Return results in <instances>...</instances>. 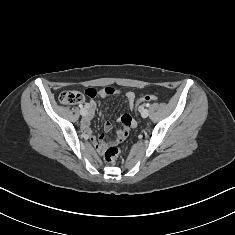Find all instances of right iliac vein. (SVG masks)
Instances as JSON below:
<instances>
[{
    "label": "right iliac vein",
    "mask_w": 235,
    "mask_h": 235,
    "mask_svg": "<svg viewBox=\"0 0 235 235\" xmlns=\"http://www.w3.org/2000/svg\"><path fill=\"white\" fill-rule=\"evenodd\" d=\"M80 113L83 116V118L87 117V111L85 109H81Z\"/></svg>",
    "instance_id": "63e3f726"
}]
</instances>
